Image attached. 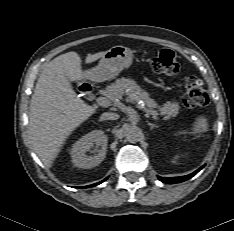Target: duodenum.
I'll list each match as a JSON object with an SVG mask.
<instances>
[{
  "label": "duodenum",
  "instance_id": "410a0bca",
  "mask_svg": "<svg viewBox=\"0 0 234 231\" xmlns=\"http://www.w3.org/2000/svg\"><path fill=\"white\" fill-rule=\"evenodd\" d=\"M80 89L85 92H90L91 91V86L88 83H82L80 85Z\"/></svg>",
  "mask_w": 234,
  "mask_h": 231
}]
</instances>
